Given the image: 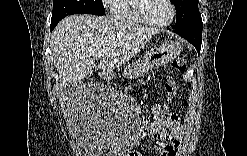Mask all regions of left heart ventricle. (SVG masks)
I'll return each instance as SVG.
<instances>
[{
    "label": "left heart ventricle",
    "mask_w": 247,
    "mask_h": 156,
    "mask_svg": "<svg viewBox=\"0 0 247 156\" xmlns=\"http://www.w3.org/2000/svg\"><path fill=\"white\" fill-rule=\"evenodd\" d=\"M145 15L156 22H163L170 17V8L164 0L146 1L143 5Z\"/></svg>",
    "instance_id": "left-heart-ventricle-1"
}]
</instances>
